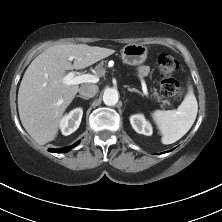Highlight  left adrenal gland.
<instances>
[{
    "mask_svg": "<svg viewBox=\"0 0 222 222\" xmlns=\"http://www.w3.org/2000/svg\"><path fill=\"white\" fill-rule=\"evenodd\" d=\"M127 89H128V91H130V92H136V93H138L139 95L143 96V93H141L139 90H137V89H135V88H130V87H128Z\"/></svg>",
    "mask_w": 222,
    "mask_h": 222,
    "instance_id": "left-adrenal-gland-1",
    "label": "left adrenal gland"
}]
</instances>
